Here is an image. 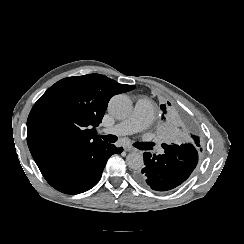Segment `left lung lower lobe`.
<instances>
[{
    "mask_svg": "<svg viewBox=\"0 0 244 244\" xmlns=\"http://www.w3.org/2000/svg\"><path fill=\"white\" fill-rule=\"evenodd\" d=\"M200 144L188 142L184 144H163L165 152L156 156L145 152V167L137 171L135 179L143 187L150 186L153 190L167 191L183 183L198 163Z\"/></svg>",
    "mask_w": 244,
    "mask_h": 244,
    "instance_id": "obj_1",
    "label": "left lung lower lobe"
}]
</instances>
